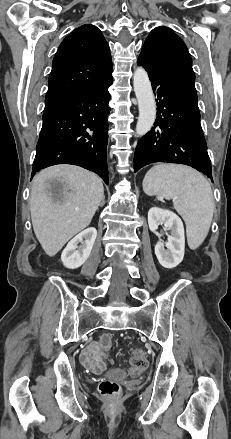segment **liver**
Here are the masks:
<instances>
[{
    "label": "liver",
    "instance_id": "1",
    "mask_svg": "<svg viewBox=\"0 0 231 439\" xmlns=\"http://www.w3.org/2000/svg\"><path fill=\"white\" fill-rule=\"evenodd\" d=\"M61 182L59 188L52 181ZM104 198L102 180L83 168L54 165L33 179L30 211L34 233L50 257L85 229Z\"/></svg>",
    "mask_w": 231,
    "mask_h": 439
}]
</instances>
